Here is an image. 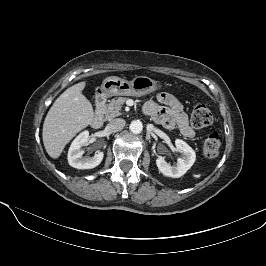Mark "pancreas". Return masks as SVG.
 <instances>
[{
    "label": "pancreas",
    "mask_w": 266,
    "mask_h": 266,
    "mask_svg": "<svg viewBox=\"0 0 266 266\" xmlns=\"http://www.w3.org/2000/svg\"><path fill=\"white\" fill-rule=\"evenodd\" d=\"M126 100V97L113 98L108 102V104L102 105L100 107V111L102 112V114L105 115V118L108 120L120 116L122 115V105L125 103Z\"/></svg>",
    "instance_id": "obj_1"
}]
</instances>
